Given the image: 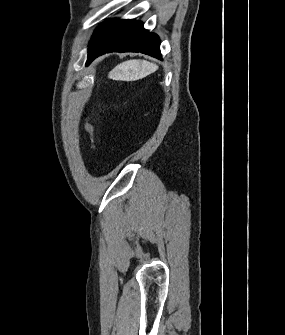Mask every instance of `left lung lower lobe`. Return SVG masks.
Listing matches in <instances>:
<instances>
[{"instance_id":"0a47b994","label":"left lung lower lobe","mask_w":285,"mask_h":335,"mask_svg":"<svg viewBox=\"0 0 285 335\" xmlns=\"http://www.w3.org/2000/svg\"><path fill=\"white\" fill-rule=\"evenodd\" d=\"M141 52L161 59L159 37L135 20H108L95 31L88 49L89 65L96 57L109 52Z\"/></svg>"}]
</instances>
